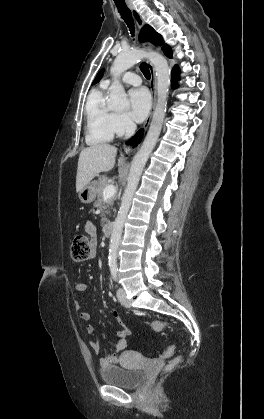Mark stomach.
Here are the masks:
<instances>
[{"mask_svg":"<svg viewBox=\"0 0 264 419\" xmlns=\"http://www.w3.org/2000/svg\"><path fill=\"white\" fill-rule=\"evenodd\" d=\"M97 195V184L95 181L88 183L79 191V198L82 203L89 204L93 202Z\"/></svg>","mask_w":264,"mask_h":419,"instance_id":"obj_1","label":"stomach"}]
</instances>
